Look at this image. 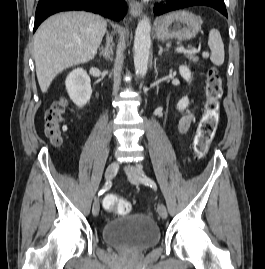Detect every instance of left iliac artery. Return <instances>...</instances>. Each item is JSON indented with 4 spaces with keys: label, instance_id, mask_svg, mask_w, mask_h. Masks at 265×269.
<instances>
[{
    "label": "left iliac artery",
    "instance_id": "left-iliac-artery-1",
    "mask_svg": "<svg viewBox=\"0 0 265 269\" xmlns=\"http://www.w3.org/2000/svg\"><path fill=\"white\" fill-rule=\"evenodd\" d=\"M141 181L143 183H145L146 185H150V186H154L155 185L154 181L151 180L150 178H147V177L142 178Z\"/></svg>",
    "mask_w": 265,
    "mask_h": 269
}]
</instances>
